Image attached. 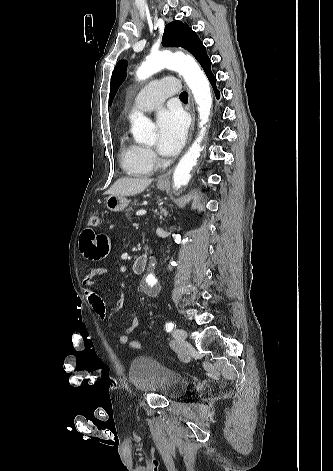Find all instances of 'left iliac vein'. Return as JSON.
<instances>
[{
    "instance_id": "4c4485c4",
    "label": "left iliac vein",
    "mask_w": 333,
    "mask_h": 471,
    "mask_svg": "<svg viewBox=\"0 0 333 471\" xmlns=\"http://www.w3.org/2000/svg\"><path fill=\"white\" fill-rule=\"evenodd\" d=\"M173 337L176 344L180 345L187 338V332L184 329L177 328L173 331Z\"/></svg>"
}]
</instances>
